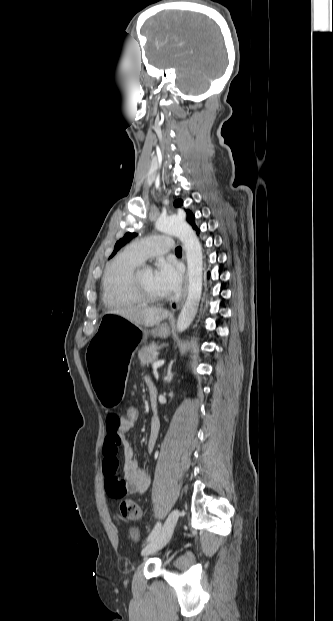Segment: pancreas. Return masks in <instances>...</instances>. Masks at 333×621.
<instances>
[{
  "mask_svg": "<svg viewBox=\"0 0 333 621\" xmlns=\"http://www.w3.org/2000/svg\"><path fill=\"white\" fill-rule=\"evenodd\" d=\"M160 347L155 344L145 345L138 351V357L143 365L154 363L157 360Z\"/></svg>",
  "mask_w": 333,
  "mask_h": 621,
  "instance_id": "cf45deb5",
  "label": "pancreas"
}]
</instances>
